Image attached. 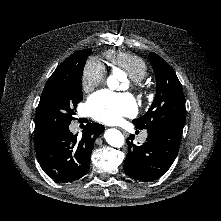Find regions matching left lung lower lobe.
<instances>
[{
  "label": "left lung lower lobe",
  "instance_id": "obj_1",
  "mask_svg": "<svg viewBox=\"0 0 221 221\" xmlns=\"http://www.w3.org/2000/svg\"><path fill=\"white\" fill-rule=\"evenodd\" d=\"M184 126L163 124L150 128L147 141L140 146L132 143L133 135L126 141L128 154L124 162L125 173L139 181L160 178L174 162Z\"/></svg>",
  "mask_w": 221,
  "mask_h": 221
}]
</instances>
